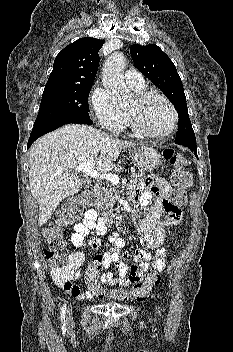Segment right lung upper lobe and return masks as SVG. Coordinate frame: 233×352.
<instances>
[{
  "label": "right lung upper lobe",
  "mask_w": 233,
  "mask_h": 352,
  "mask_svg": "<svg viewBox=\"0 0 233 352\" xmlns=\"http://www.w3.org/2000/svg\"><path fill=\"white\" fill-rule=\"evenodd\" d=\"M103 43L104 40L89 37L66 46L56 56L45 88L92 85L99 65L98 51Z\"/></svg>",
  "instance_id": "1"
}]
</instances>
